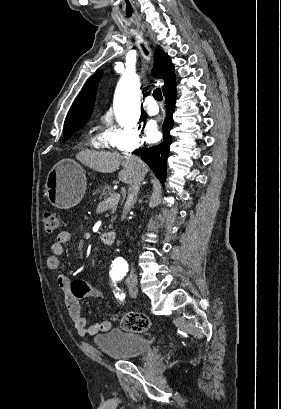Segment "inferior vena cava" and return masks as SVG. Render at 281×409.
Listing matches in <instances>:
<instances>
[{
	"mask_svg": "<svg viewBox=\"0 0 281 409\" xmlns=\"http://www.w3.org/2000/svg\"><path fill=\"white\" fill-rule=\"evenodd\" d=\"M133 164H134V174L129 182V190L128 194L129 196H137L138 190H140L141 182L145 176V162L139 158V156H134V158H131ZM127 283H137V275H134V271L132 269L128 279Z\"/></svg>",
	"mask_w": 281,
	"mask_h": 409,
	"instance_id": "1",
	"label": "inferior vena cava"
}]
</instances>
